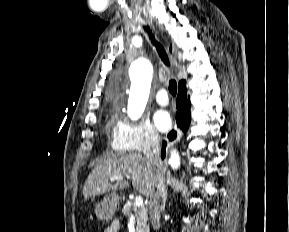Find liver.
I'll list each match as a JSON object with an SVG mask.
<instances>
[{"instance_id":"obj_1","label":"liver","mask_w":289,"mask_h":232,"mask_svg":"<svg viewBox=\"0 0 289 232\" xmlns=\"http://www.w3.org/2000/svg\"><path fill=\"white\" fill-rule=\"evenodd\" d=\"M160 172L152 166L145 156L129 153L120 157H109L96 164L89 174L83 187V196H99L118 189L129 187L128 181L109 182L110 177L121 175L131 176L133 187L142 195L150 196L154 190L156 176Z\"/></svg>"}]
</instances>
